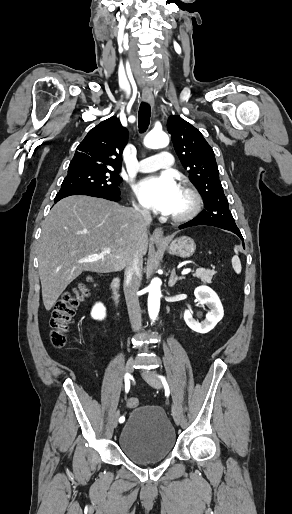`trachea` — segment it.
Here are the masks:
<instances>
[{
	"label": "trachea",
	"mask_w": 292,
	"mask_h": 514,
	"mask_svg": "<svg viewBox=\"0 0 292 514\" xmlns=\"http://www.w3.org/2000/svg\"><path fill=\"white\" fill-rule=\"evenodd\" d=\"M150 117H151V107L148 103L142 102L139 108V115H138V127L139 132L143 133L146 132V130L149 127L150 124Z\"/></svg>",
	"instance_id": "trachea-1"
}]
</instances>
